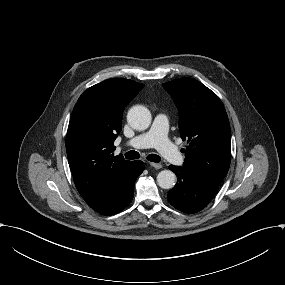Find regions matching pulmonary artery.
<instances>
[{
	"label": "pulmonary artery",
	"mask_w": 285,
	"mask_h": 285,
	"mask_svg": "<svg viewBox=\"0 0 285 285\" xmlns=\"http://www.w3.org/2000/svg\"><path fill=\"white\" fill-rule=\"evenodd\" d=\"M171 116L166 111L157 114L152 126L143 130L133 139L122 140V147L154 146L159 152L176 165H183L185 156L173 145L164 133L170 127ZM160 131V132H159Z\"/></svg>",
	"instance_id": "1"
}]
</instances>
